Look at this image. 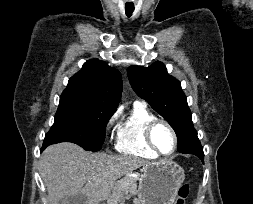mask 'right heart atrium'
Returning <instances> with one entry per match:
<instances>
[{
	"instance_id": "1",
	"label": "right heart atrium",
	"mask_w": 253,
	"mask_h": 204,
	"mask_svg": "<svg viewBox=\"0 0 253 204\" xmlns=\"http://www.w3.org/2000/svg\"><path fill=\"white\" fill-rule=\"evenodd\" d=\"M118 119V114L117 113H113L107 120L106 125H105V129L107 133H110L111 131H113L116 127V122Z\"/></svg>"
}]
</instances>
